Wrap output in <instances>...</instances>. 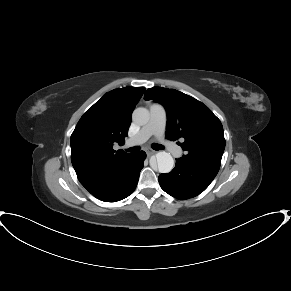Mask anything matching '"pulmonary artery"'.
Here are the masks:
<instances>
[{"label":"pulmonary artery","instance_id":"obj_1","mask_svg":"<svg viewBox=\"0 0 291 291\" xmlns=\"http://www.w3.org/2000/svg\"><path fill=\"white\" fill-rule=\"evenodd\" d=\"M150 117L146 125H144L139 133L129 140L126 141V147L139 146L146 142L151 136H156L161 142L169 145L170 152L173 156L178 157L182 154L180 147L171 144L166 141L163 137L164 130L167 122V115L165 108L158 103H148Z\"/></svg>","mask_w":291,"mask_h":291}]
</instances>
